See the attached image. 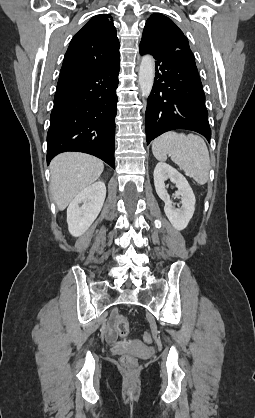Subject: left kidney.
I'll return each instance as SVG.
<instances>
[{"instance_id": "left-kidney-1", "label": "left kidney", "mask_w": 255, "mask_h": 418, "mask_svg": "<svg viewBox=\"0 0 255 418\" xmlns=\"http://www.w3.org/2000/svg\"><path fill=\"white\" fill-rule=\"evenodd\" d=\"M176 185L178 191L175 196H181L180 208L172 205V200L167 192L165 181ZM154 185L160 199L165 203L164 212L170 223L176 230H183L187 227L195 211V195L186 178L172 166L159 162L154 169Z\"/></svg>"}]
</instances>
